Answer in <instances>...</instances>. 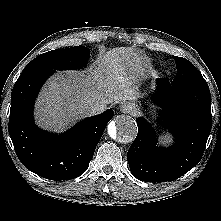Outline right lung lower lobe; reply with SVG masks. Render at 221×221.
Masks as SVG:
<instances>
[{
  "label": "right lung lower lobe",
  "instance_id": "obj_1",
  "mask_svg": "<svg viewBox=\"0 0 221 221\" xmlns=\"http://www.w3.org/2000/svg\"><path fill=\"white\" fill-rule=\"evenodd\" d=\"M51 69L22 71L11 94L9 134L22 164L37 175L54 180H68L82 175L88 168L112 109L89 117L62 135L39 129L32 112L36 96Z\"/></svg>",
  "mask_w": 221,
  "mask_h": 221
}]
</instances>
